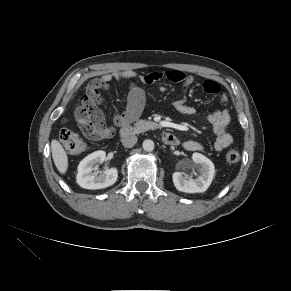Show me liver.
I'll list each match as a JSON object with an SVG mask.
<instances>
[{
    "instance_id": "liver-1",
    "label": "liver",
    "mask_w": 291,
    "mask_h": 291,
    "mask_svg": "<svg viewBox=\"0 0 291 291\" xmlns=\"http://www.w3.org/2000/svg\"><path fill=\"white\" fill-rule=\"evenodd\" d=\"M51 152L55 166L61 174H65L68 169V156L59 141H51Z\"/></svg>"
}]
</instances>
